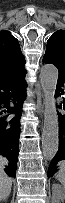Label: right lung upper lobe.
<instances>
[{
	"label": "right lung upper lobe",
	"instance_id": "cb5924a9",
	"mask_svg": "<svg viewBox=\"0 0 65 203\" xmlns=\"http://www.w3.org/2000/svg\"><path fill=\"white\" fill-rule=\"evenodd\" d=\"M24 65L18 40L8 31H0V80L25 74Z\"/></svg>",
	"mask_w": 65,
	"mask_h": 203
}]
</instances>
